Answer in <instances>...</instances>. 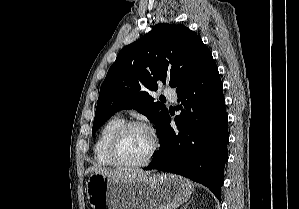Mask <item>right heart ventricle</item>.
I'll return each mask as SVG.
<instances>
[{"label":"right heart ventricle","mask_w":299,"mask_h":209,"mask_svg":"<svg viewBox=\"0 0 299 209\" xmlns=\"http://www.w3.org/2000/svg\"><path fill=\"white\" fill-rule=\"evenodd\" d=\"M124 123L120 115L112 116L102 127L94 145V156L98 164L113 166L108 155L109 143L114 132Z\"/></svg>","instance_id":"e07e8e85"}]
</instances>
